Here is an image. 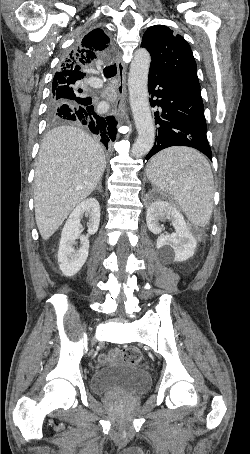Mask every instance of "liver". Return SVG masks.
I'll return each mask as SVG.
<instances>
[{"instance_id": "obj_1", "label": "liver", "mask_w": 250, "mask_h": 454, "mask_svg": "<svg viewBox=\"0 0 250 454\" xmlns=\"http://www.w3.org/2000/svg\"><path fill=\"white\" fill-rule=\"evenodd\" d=\"M105 167L101 145L82 129L59 126L45 135L34 179L35 219L43 240L94 191Z\"/></svg>"}]
</instances>
